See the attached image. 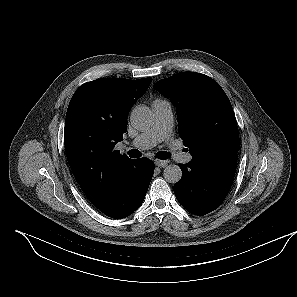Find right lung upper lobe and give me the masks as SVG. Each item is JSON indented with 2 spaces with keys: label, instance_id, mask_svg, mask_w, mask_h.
<instances>
[{
  "label": "right lung upper lobe",
  "instance_id": "1",
  "mask_svg": "<svg viewBox=\"0 0 297 297\" xmlns=\"http://www.w3.org/2000/svg\"><path fill=\"white\" fill-rule=\"evenodd\" d=\"M152 79L102 78L84 83L69 103L64 141L69 166L90 202L103 204L133 159L115 150L128 113Z\"/></svg>",
  "mask_w": 297,
  "mask_h": 297
}]
</instances>
